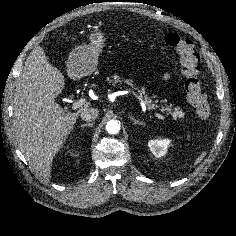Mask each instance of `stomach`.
Returning <instances> with one entry per match:
<instances>
[{
  "label": "stomach",
  "instance_id": "stomach-1",
  "mask_svg": "<svg viewBox=\"0 0 236 236\" xmlns=\"http://www.w3.org/2000/svg\"><path fill=\"white\" fill-rule=\"evenodd\" d=\"M90 44L76 47L67 60V72L71 78H81L92 74L98 64V56L105 45L101 31L95 30L89 36Z\"/></svg>",
  "mask_w": 236,
  "mask_h": 236
}]
</instances>
